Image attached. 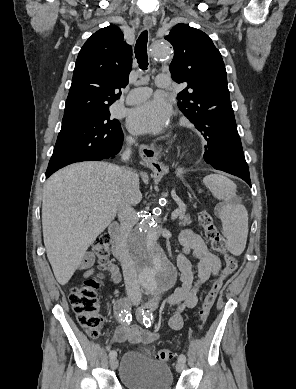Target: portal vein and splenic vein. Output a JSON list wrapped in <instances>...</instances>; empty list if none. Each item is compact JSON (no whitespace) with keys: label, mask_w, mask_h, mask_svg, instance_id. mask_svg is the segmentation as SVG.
Returning a JSON list of instances; mask_svg holds the SVG:
<instances>
[{"label":"portal vein and splenic vein","mask_w":296,"mask_h":389,"mask_svg":"<svg viewBox=\"0 0 296 389\" xmlns=\"http://www.w3.org/2000/svg\"><path fill=\"white\" fill-rule=\"evenodd\" d=\"M183 211H184V207H179V208L175 209V210L172 212V214H171V219L174 220V219L177 218V217L179 216V214H180L181 212H183Z\"/></svg>","instance_id":"1"}]
</instances>
